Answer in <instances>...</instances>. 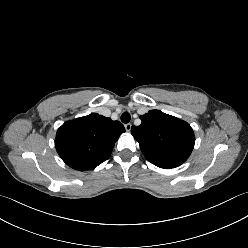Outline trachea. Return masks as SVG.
I'll use <instances>...</instances> for the list:
<instances>
[{
    "mask_svg": "<svg viewBox=\"0 0 248 248\" xmlns=\"http://www.w3.org/2000/svg\"><path fill=\"white\" fill-rule=\"evenodd\" d=\"M131 120V116L128 112H124L122 115H121V121L123 123H129Z\"/></svg>",
    "mask_w": 248,
    "mask_h": 248,
    "instance_id": "1",
    "label": "trachea"
}]
</instances>
